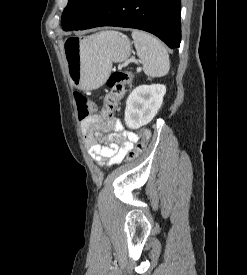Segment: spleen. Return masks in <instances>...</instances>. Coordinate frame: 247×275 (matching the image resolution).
I'll list each match as a JSON object with an SVG mask.
<instances>
[{
	"instance_id": "1",
	"label": "spleen",
	"mask_w": 247,
	"mask_h": 275,
	"mask_svg": "<svg viewBox=\"0 0 247 275\" xmlns=\"http://www.w3.org/2000/svg\"><path fill=\"white\" fill-rule=\"evenodd\" d=\"M103 36V33H100L94 38L101 39ZM132 38L145 74L150 77L165 76L170 69V59L165 45L156 37L140 30H133Z\"/></svg>"
}]
</instances>
